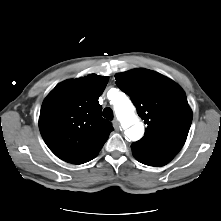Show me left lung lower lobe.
Here are the masks:
<instances>
[{"label":"left lung lower lobe","instance_id":"1","mask_svg":"<svg viewBox=\"0 0 221 221\" xmlns=\"http://www.w3.org/2000/svg\"><path fill=\"white\" fill-rule=\"evenodd\" d=\"M133 156L141 163L149 166H162L151 160H149L146 156H144L139 150L132 148Z\"/></svg>","mask_w":221,"mask_h":221}]
</instances>
